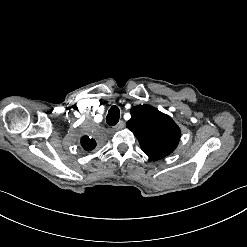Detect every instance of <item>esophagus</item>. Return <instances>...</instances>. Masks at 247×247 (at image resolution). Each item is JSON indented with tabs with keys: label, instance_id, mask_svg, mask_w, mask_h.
Returning a JSON list of instances; mask_svg holds the SVG:
<instances>
[{
	"label": "esophagus",
	"instance_id": "1",
	"mask_svg": "<svg viewBox=\"0 0 247 247\" xmlns=\"http://www.w3.org/2000/svg\"><path fill=\"white\" fill-rule=\"evenodd\" d=\"M124 127V121L121 120L119 121L113 128L116 129V130H120Z\"/></svg>",
	"mask_w": 247,
	"mask_h": 247
}]
</instances>
